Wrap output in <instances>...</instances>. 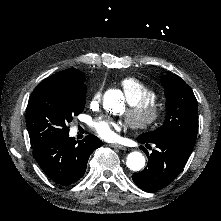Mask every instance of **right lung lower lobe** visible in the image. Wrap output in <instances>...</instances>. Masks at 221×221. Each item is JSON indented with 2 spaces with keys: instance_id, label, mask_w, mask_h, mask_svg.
Segmentation results:
<instances>
[{
  "instance_id": "98d812e1",
  "label": "right lung lower lobe",
  "mask_w": 221,
  "mask_h": 221,
  "mask_svg": "<svg viewBox=\"0 0 221 221\" xmlns=\"http://www.w3.org/2000/svg\"><path fill=\"white\" fill-rule=\"evenodd\" d=\"M101 145V140L94 135L78 142L66 135L34 145L32 149L44 173L57 184L69 186L84 175L90 154Z\"/></svg>"
}]
</instances>
